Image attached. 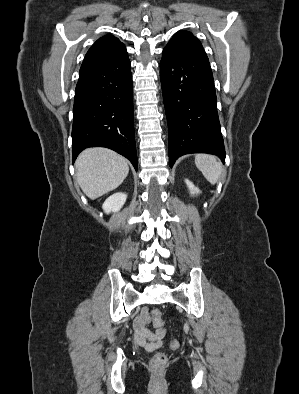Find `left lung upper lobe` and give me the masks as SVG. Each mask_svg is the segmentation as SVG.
<instances>
[{"instance_id":"left-lung-upper-lobe-1","label":"left lung upper lobe","mask_w":299,"mask_h":394,"mask_svg":"<svg viewBox=\"0 0 299 394\" xmlns=\"http://www.w3.org/2000/svg\"><path fill=\"white\" fill-rule=\"evenodd\" d=\"M164 49L177 53H194L206 55L200 41L188 31L177 32Z\"/></svg>"}]
</instances>
